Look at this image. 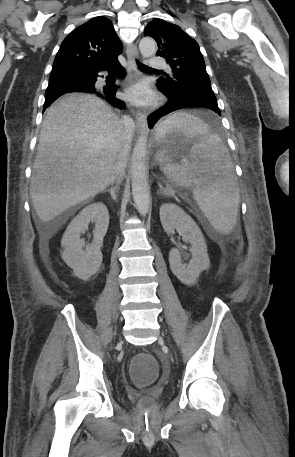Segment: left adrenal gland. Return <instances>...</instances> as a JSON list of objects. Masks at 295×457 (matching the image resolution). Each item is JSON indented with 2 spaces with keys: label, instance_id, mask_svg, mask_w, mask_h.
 <instances>
[{
  "label": "left adrenal gland",
  "instance_id": "left-adrenal-gland-1",
  "mask_svg": "<svg viewBox=\"0 0 295 457\" xmlns=\"http://www.w3.org/2000/svg\"><path fill=\"white\" fill-rule=\"evenodd\" d=\"M159 190L157 191L158 195L170 196V192L163 188L162 184L158 182Z\"/></svg>",
  "mask_w": 295,
  "mask_h": 457
}]
</instances>
